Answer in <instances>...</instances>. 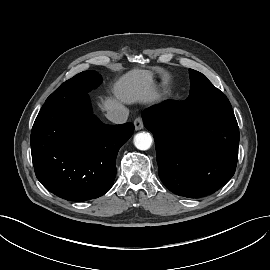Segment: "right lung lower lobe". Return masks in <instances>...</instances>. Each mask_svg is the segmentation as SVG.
<instances>
[{
    "instance_id": "1",
    "label": "right lung lower lobe",
    "mask_w": 270,
    "mask_h": 270,
    "mask_svg": "<svg viewBox=\"0 0 270 270\" xmlns=\"http://www.w3.org/2000/svg\"><path fill=\"white\" fill-rule=\"evenodd\" d=\"M133 131L132 123L103 124L88 95L43 105L31 131L36 177L65 200L98 198L112 187L117 153Z\"/></svg>"
}]
</instances>
